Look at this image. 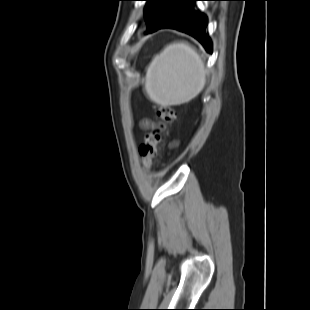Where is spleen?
Masks as SVG:
<instances>
[{"mask_svg": "<svg viewBox=\"0 0 310 310\" xmlns=\"http://www.w3.org/2000/svg\"><path fill=\"white\" fill-rule=\"evenodd\" d=\"M206 84L201 55L186 42L167 45L147 68L145 92L154 102L180 105L197 95Z\"/></svg>", "mask_w": 310, "mask_h": 310, "instance_id": "1", "label": "spleen"}]
</instances>
